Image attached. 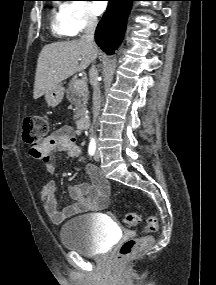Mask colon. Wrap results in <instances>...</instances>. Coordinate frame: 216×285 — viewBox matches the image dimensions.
<instances>
[{"instance_id":"obj_1","label":"colon","mask_w":216,"mask_h":285,"mask_svg":"<svg viewBox=\"0 0 216 285\" xmlns=\"http://www.w3.org/2000/svg\"><path fill=\"white\" fill-rule=\"evenodd\" d=\"M49 125L45 117L41 115H29L23 121L22 138L28 145L29 153L38 156L42 139L47 135ZM139 217L136 213H127L125 225L134 227L138 224ZM158 229V220L150 215L147 219L145 234L139 238H131L123 242L120 246L116 261L122 263L133 254L146 249L153 241L152 234Z\"/></svg>"}]
</instances>
